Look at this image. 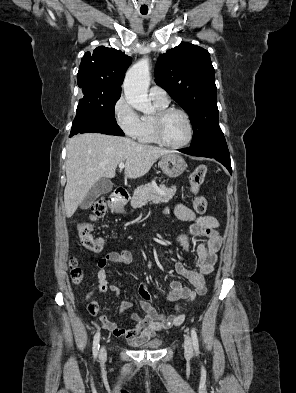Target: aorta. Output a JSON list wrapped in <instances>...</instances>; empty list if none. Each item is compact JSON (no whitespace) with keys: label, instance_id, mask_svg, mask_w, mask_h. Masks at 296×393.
<instances>
[{"label":"aorta","instance_id":"762f6f07","mask_svg":"<svg viewBox=\"0 0 296 393\" xmlns=\"http://www.w3.org/2000/svg\"><path fill=\"white\" fill-rule=\"evenodd\" d=\"M149 84V60L143 58L127 71L124 80V94L127 102L133 108L146 114L153 112V106L148 99Z\"/></svg>","mask_w":296,"mask_h":393}]
</instances>
